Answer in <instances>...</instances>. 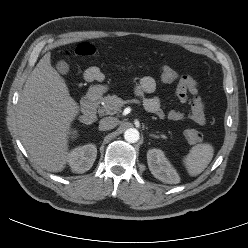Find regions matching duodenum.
Segmentation results:
<instances>
[{
    "label": "duodenum",
    "instance_id": "duodenum-1",
    "mask_svg": "<svg viewBox=\"0 0 248 248\" xmlns=\"http://www.w3.org/2000/svg\"><path fill=\"white\" fill-rule=\"evenodd\" d=\"M100 103V93L96 90L90 91L81 103L80 121L91 123L95 120L96 111Z\"/></svg>",
    "mask_w": 248,
    "mask_h": 248
}]
</instances>
